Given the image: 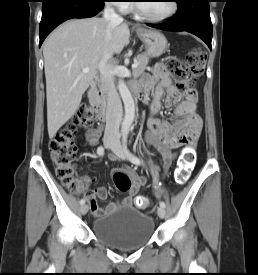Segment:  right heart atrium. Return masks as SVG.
<instances>
[{
  "label": "right heart atrium",
  "instance_id": "obj_1",
  "mask_svg": "<svg viewBox=\"0 0 258 275\" xmlns=\"http://www.w3.org/2000/svg\"><path fill=\"white\" fill-rule=\"evenodd\" d=\"M112 4L119 8L120 11H126L128 8L129 0H109Z\"/></svg>",
  "mask_w": 258,
  "mask_h": 275
}]
</instances>
